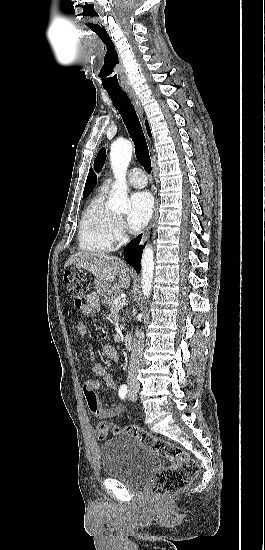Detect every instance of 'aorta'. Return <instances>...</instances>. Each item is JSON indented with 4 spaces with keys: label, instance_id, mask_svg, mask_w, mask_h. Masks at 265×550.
<instances>
[{
    "label": "aorta",
    "instance_id": "762f6f07",
    "mask_svg": "<svg viewBox=\"0 0 265 550\" xmlns=\"http://www.w3.org/2000/svg\"><path fill=\"white\" fill-rule=\"evenodd\" d=\"M132 151V144L129 141L117 142L111 146V167L117 182L115 184V191L108 201V206L110 209L119 210L122 213H126L129 210L125 175L131 160ZM141 266L143 295L145 298H148L152 290L154 275V252L151 246H147L144 249Z\"/></svg>",
    "mask_w": 265,
    "mask_h": 550
}]
</instances>
